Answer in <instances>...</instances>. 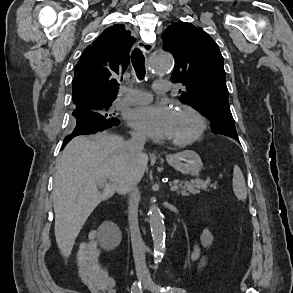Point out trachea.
Instances as JSON below:
<instances>
[{
	"label": "trachea",
	"mask_w": 293,
	"mask_h": 293,
	"mask_svg": "<svg viewBox=\"0 0 293 293\" xmlns=\"http://www.w3.org/2000/svg\"><path fill=\"white\" fill-rule=\"evenodd\" d=\"M145 58L140 49H135L132 52V64L139 80L145 77Z\"/></svg>",
	"instance_id": "obj_1"
}]
</instances>
